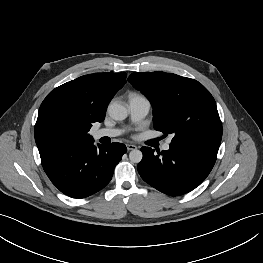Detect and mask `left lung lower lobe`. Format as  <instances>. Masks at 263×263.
Listing matches in <instances>:
<instances>
[{"label":"left lung lower lobe","mask_w":263,"mask_h":263,"mask_svg":"<svg viewBox=\"0 0 263 263\" xmlns=\"http://www.w3.org/2000/svg\"><path fill=\"white\" fill-rule=\"evenodd\" d=\"M219 147L170 144L169 150L142 147L143 159L138 164L142 179L171 196L190 192L200 185L212 170Z\"/></svg>","instance_id":"obj_1"}]
</instances>
